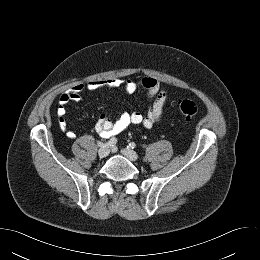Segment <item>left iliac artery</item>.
Wrapping results in <instances>:
<instances>
[{
	"label": "left iliac artery",
	"mask_w": 260,
	"mask_h": 260,
	"mask_svg": "<svg viewBox=\"0 0 260 260\" xmlns=\"http://www.w3.org/2000/svg\"><path fill=\"white\" fill-rule=\"evenodd\" d=\"M130 148L134 149L136 147V144L134 142L129 143Z\"/></svg>",
	"instance_id": "44dca946"
}]
</instances>
